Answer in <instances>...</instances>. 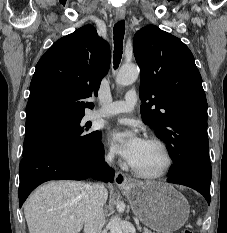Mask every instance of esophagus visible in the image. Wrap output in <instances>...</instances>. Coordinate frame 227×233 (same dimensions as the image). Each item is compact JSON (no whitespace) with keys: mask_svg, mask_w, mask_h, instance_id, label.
I'll return each instance as SVG.
<instances>
[{"mask_svg":"<svg viewBox=\"0 0 227 233\" xmlns=\"http://www.w3.org/2000/svg\"><path fill=\"white\" fill-rule=\"evenodd\" d=\"M115 15L117 20H123L125 18V10L117 9ZM115 183L118 187H126L131 184L125 174L120 171L115 175Z\"/></svg>","mask_w":227,"mask_h":233,"instance_id":"1","label":"esophagus"}]
</instances>
